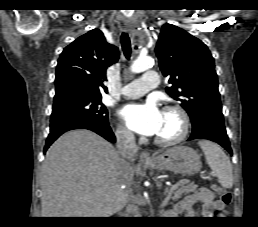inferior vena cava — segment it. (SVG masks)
<instances>
[{"label":"inferior vena cava","mask_w":258,"mask_h":227,"mask_svg":"<svg viewBox=\"0 0 258 227\" xmlns=\"http://www.w3.org/2000/svg\"><path fill=\"white\" fill-rule=\"evenodd\" d=\"M117 150L121 156L119 166L124 169L131 167L138 155V146L132 132L122 129L116 132Z\"/></svg>","instance_id":"602c4592"}]
</instances>
